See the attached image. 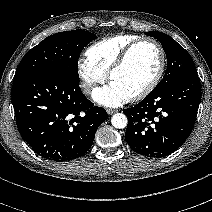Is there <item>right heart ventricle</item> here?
Segmentation results:
<instances>
[{
    "instance_id": "e07e8e85",
    "label": "right heart ventricle",
    "mask_w": 212,
    "mask_h": 212,
    "mask_svg": "<svg viewBox=\"0 0 212 212\" xmlns=\"http://www.w3.org/2000/svg\"><path fill=\"white\" fill-rule=\"evenodd\" d=\"M138 38L139 36L134 34H118L104 38L86 50L87 59L107 74L123 50Z\"/></svg>"
}]
</instances>
